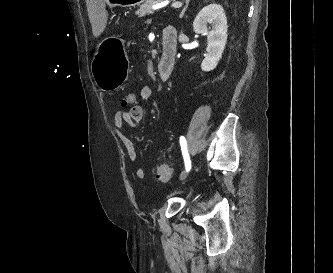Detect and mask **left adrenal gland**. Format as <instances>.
I'll return each instance as SVG.
<instances>
[{
    "instance_id": "left-adrenal-gland-1",
    "label": "left adrenal gland",
    "mask_w": 333,
    "mask_h": 273,
    "mask_svg": "<svg viewBox=\"0 0 333 273\" xmlns=\"http://www.w3.org/2000/svg\"><path fill=\"white\" fill-rule=\"evenodd\" d=\"M189 1H190V0H186V5H185V7L183 8V10L181 11V13H180V15H179V18H182V17L184 16L185 11H186V9L188 8Z\"/></svg>"
}]
</instances>
